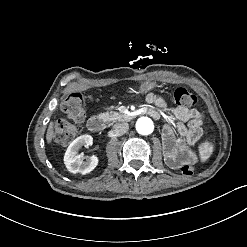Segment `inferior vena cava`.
<instances>
[{
  "label": "inferior vena cava",
  "mask_w": 247,
  "mask_h": 247,
  "mask_svg": "<svg viewBox=\"0 0 247 247\" xmlns=\"http://www.w3.org/2000/svg\"><path fill=\"white\" fill-rule=\"evenodd\" d=\"M128 129H129V124L126 123V122L116 123L113 126V131L117 135H123V134H125L128 131Z\"/></svg>",
  "instance_id": "1"
}]
</instances>
